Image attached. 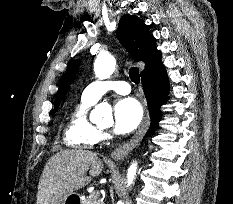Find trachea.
Here are the masks:
<instances>
[{
  "instance_id": "1",
  "label": "trachea",
  "mask_w": 233,
  "mask_h": 204,
  "mask_svg": "<svg viewBox=\"0 0 233 204\" xmlns=\"http://www.w3.org/2000/svg\"><path fill=\"white\" fill-rule=\"evenodd\" d=\"M129 77L135 84H139L140 82V75H139V69L137 67H132L129 70Z\"/></svg>"
}]
</instances>
